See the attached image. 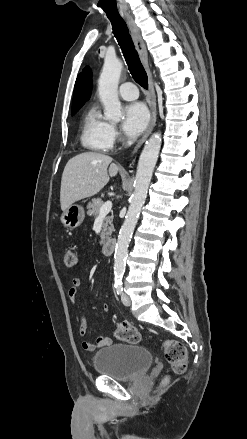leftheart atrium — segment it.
<instances>
[{
  "label": "left heart atrium",
  "instance_id": "left-heart-atrium-1",
  "mask_svg": "<svg viewBox=\"0 0 247 439\" xmlns=\"http://www.w3.org/2000/svg\"><path fill=\"white\" fill-rule=\"evenodd\" d=\"M149 122V112L144 104L135 102L124 109L122 129L131 137H136L143 132Z\"/></svg>",
  "mask_w": 247,
  "mask_h": 439
}]
</instances>
